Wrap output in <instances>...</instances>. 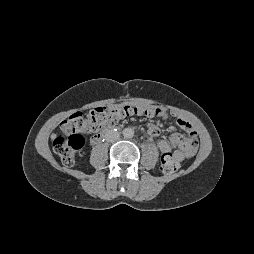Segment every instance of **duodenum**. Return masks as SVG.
I'll list each match as a JSON object with an SVG mask.
<instances>
[{"mask_svg":"<svg viewBox=\"0 0 254 254\" xmlns=\"http://www.w3.org/2000/svg\"><path fill=\"white\" fill-rule=\"evenodd\" d=\"M108 134V130H104V131H101L95 135L92 136L91 138V143L93 145H96L98 143H100L102 141V139Z\"/></svg>","mask_w":254,"mask_h":254,"instance_id":"duodenum-1","label":"duodenum"}]
</instances>
